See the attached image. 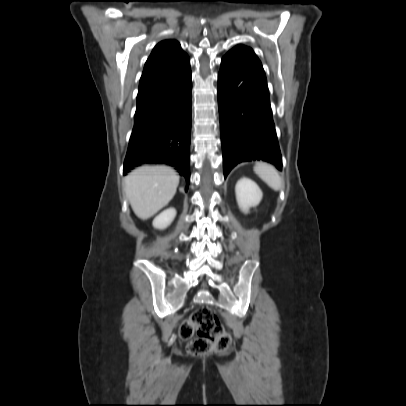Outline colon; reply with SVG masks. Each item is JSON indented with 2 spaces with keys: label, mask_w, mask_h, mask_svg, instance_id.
I'll return each mask as SVG.
<instances>
[{
  "label": "colon",
  "mask_w": 406,
  "mask_h": 406,
  "mask_svg": "<svg viewBox=\"0 0 406 406\" xmlns=\"http://www.w3.org/2000/svg\"><path fill=\"white\" fill-rule=\"evenodd\" d=\"M194 333H197V337L192 339ZM178 334L180 339L190 340L188 351L194 355L212 351H226L231 345L229 333L217 315L209 309L193 312L180 325Z\"/></svg>",
  "instance_id": "5ec220e1"
}]
</instances>
